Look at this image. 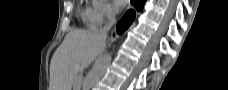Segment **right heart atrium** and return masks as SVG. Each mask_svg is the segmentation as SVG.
<instances>
[{
  "mask_svg": "<svg viewBox=\"0 0 228 90\" xmlns=\"http://www.w3.org/2000/svg\"><path fill=\"white\" fill-rule=\"evenodd\" d=\"M115 12L112 5L106 0H94L90 11L92 23L100 25L110 19Z\"/></svg>",
  "mask_w": 228,
  "mask_h": 90,
  "instance_id": "1",
  "label": "right heart atrium"
}]
</instances>
